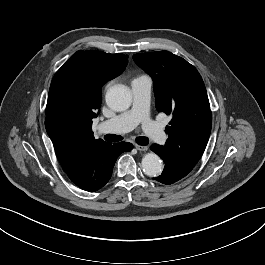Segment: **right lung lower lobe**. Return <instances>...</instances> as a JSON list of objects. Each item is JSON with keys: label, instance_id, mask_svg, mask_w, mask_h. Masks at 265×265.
Instances as JSON below:
<instances>
[{"label": "right lung lower lobe", "instance_id": "obj_1", "mask_svg": "<svg viewBox=\"0 0 265 265\" xmlns=\"http://www.w3.org/2000/svg\"><path fill=\"white\" fill-rule=\"evenodd\" d=\"M132 148L133 145L126 142L95 145L74 166L64 171L79 188L97 191L109 181L118 156Z\"/></svg>", "mask_w": 265, "mask_h": 265}]
</instances>
